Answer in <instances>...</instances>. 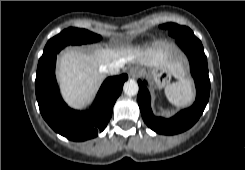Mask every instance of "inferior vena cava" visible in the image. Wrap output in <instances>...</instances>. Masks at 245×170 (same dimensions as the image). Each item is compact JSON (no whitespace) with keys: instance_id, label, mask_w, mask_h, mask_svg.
I'll return each instance as SVG.
<instances>
[{"instance_id":"obj_1","label":"inferior vena cava","mask_w":245,"mask_h":170,"mask_svg":"<svg viewBox=\"0 0 245 170\" xmlns=\"http://www.w3.org/2000/svg\"><path fill=\"white\" fill-rule=\"evenodd\" d=\"M119 70H120V67L117 63H111L108 66L102 67V71L110 75L118 74Z\"/></svg>"}]
</instances>
